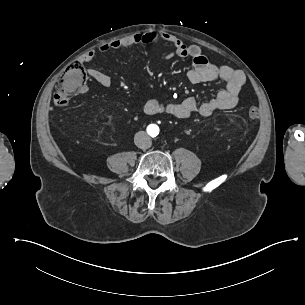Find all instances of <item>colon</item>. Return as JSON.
<instances>
[{
  "label": "colon",
  "mask_w": 305,
  "mask_h": 305,
  "mask_svg": "<svg viewBox=\"0 0 305 305\" xmlns=\"http://www.w3.org/2000/svg\"><path fill=\"white\" fill-rule=\"evenodd\" d=\"M88 79L80 62L73 60L69 62L67 71L62 75L61 79L57 81L55 89L57 93L54 94V104L56 107H66L74 96L78 95L80 91L86 88ZM258 115L256 108L248 110V116L255 119Z\"/></svg>",
  "instance_id": "colon-1"
}]
</instances>
